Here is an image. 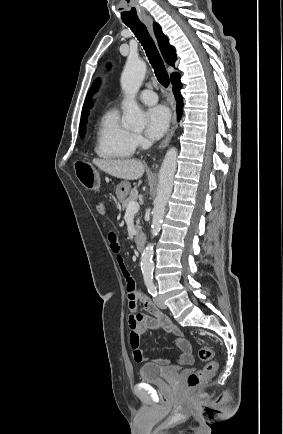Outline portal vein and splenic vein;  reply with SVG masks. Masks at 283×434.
<instances>
[{
  "label": "portal vein and splenic vein",
  "mask_w": 283,
  "mask_h": 434,
  "mask_svg": "<svg viewBox=\"0 0 283 434\" xmlns=\"http://www.w3.org/2000/svg\"><path fill=\"white\" fill-rule=\"evenodd\" d=\"M139 211V204L135 201H131L128 204V207L126 209V213H137Z\"/></svg>",
  "instance_id": "portal-vein-and-splenic-vein-1"
}]
</instances>
